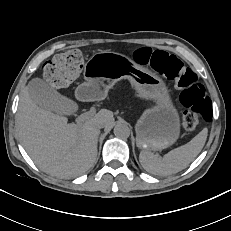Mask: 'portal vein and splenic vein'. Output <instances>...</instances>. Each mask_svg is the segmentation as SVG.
<instances>
[{
	"instance_id": "1",
	"label": "portal vein and splenic vein",
	"mask_w": 231,
	"mask_h": 231,
	"mask_svg": "<svg viewBox=\"0 0 231 231\" xmlns=\"http://www.w3.org/2000/svg\"><path fill=\"white\" fill-rule=\"evenodd\" d=\"M96 114V110L94 108H91L88 112H85L78 116L77 122H83L90 117L94 116Z\"/></svg>"
}]
</instances>
